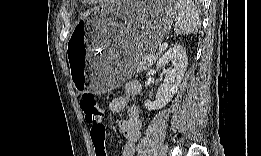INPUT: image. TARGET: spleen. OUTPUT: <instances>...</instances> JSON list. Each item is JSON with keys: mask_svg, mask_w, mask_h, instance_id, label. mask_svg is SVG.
Segmentation results:
<instances>
[{"mask_svg": "<svg viewBox=\"0 0 261 156\" xmlns=\"http://www.w3.org/2000/svg\"><path fill=\"white\" fill-rule=\"evenodd\" d=\"M174 10L178 13L174 25L176 33L195 34L199 26V14L193 1L180 0L176 3Z\"/></svg>", "mask_w": 261, "mask_h": 156, "instance_id": "spleen-1", "label": "spleen"}]
</instances>
